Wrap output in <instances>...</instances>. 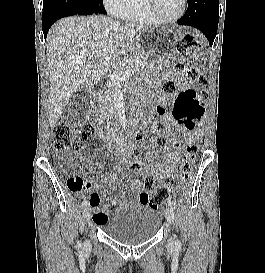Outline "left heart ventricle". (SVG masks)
Listing matches in <instances>:
<instances>
[{
    "instance_id": "1",
    "label": "left heart ventricle",
    "mask_w": 265,
    "mask_h": 273,
    "mask_svg": "<svg viewBox=\"0 0 265 273\" xmlns=\"http://www.w3.org/2000/svg\"><path fill=\"white\" fill-rule=\"evenodd\" d=\"M155 9L159 16L173 18L181 12L182 0H156Z\"/></svg>"
}]
</instances>
